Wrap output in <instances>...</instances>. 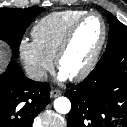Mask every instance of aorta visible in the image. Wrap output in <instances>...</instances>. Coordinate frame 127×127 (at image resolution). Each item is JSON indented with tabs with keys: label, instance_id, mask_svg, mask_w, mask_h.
<instances>
[{
	"label": "aorta",
	"instance_id": "762f6f07",
	"mask_svg": "<svg viewBox=\"0 0 127 127\" xmlns=\"http://www.w3.org/2000/svg\"><path fill=\"white\" fill-rule=\"evenodd\" d=\"M54 108L58 113H69L71 110V102L67 97H58L54 101Z\"/></svg>",
	"mask_w": 127,
	"mask_h": 127
}]
</instances>
